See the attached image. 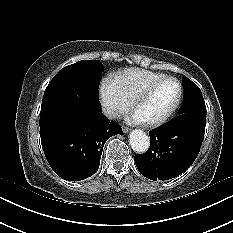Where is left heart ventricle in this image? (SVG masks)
Segmentation results:
<instances>
[{"mask_svg":"<svg viewBox=\"0 0 233 233\" xmlns=\"http://www.w3.org/2000/svg\"><path fill=\"white\" fill-rule=\"evenodd\" d=\"M176 94L177 88L174 82H160L138 103L135 111L145 121L157 119L170 108Z\"/></svg>","mask_w":233,"mask_h":233,"instance_id":"1","label":"left heart ventricle"}]
</instances>
